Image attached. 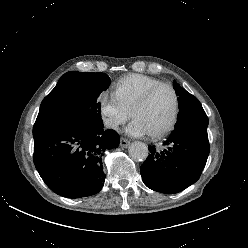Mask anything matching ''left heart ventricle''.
<instances>
[{
  "instance_id": "left-heart-ventricle-1",
  "label": "left heart ventricle",
  "mask_w": 248,
  "mask_h": 248,
  "mask_svg": "<svg viewBox=\"0 0 248 248\" xmlns=\"http://www.w3.org/2000/svg\"><path fill=\"white\" fill-rule=\"evenodd\" d=\"M174 96L169 88L157 90L149 102L138 110L133 119L138 121L148 132L154 133L163 128L171 118Z\"/></svg>"
}]
</instances>
